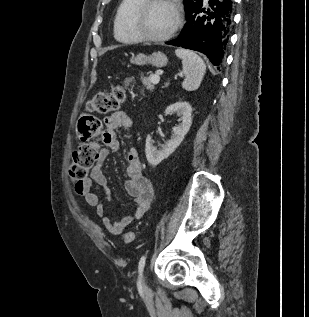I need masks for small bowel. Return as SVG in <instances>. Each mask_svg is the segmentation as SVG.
I'll return each instance as SVG.
<instances>
[{
    "label": "small bowel",
    "mask_w": 309,
    "mask_h": 317,
    "mask_svg": "<svg viewBox=\"0 0 309 317\" xmlns=\"http://www.w3.org/2000/svg\"><path fill=\"white\" fill-rule=\"evenodd\" d=\"M104 123L105 130L101 136L104 147L99 151L96 165L91 169L89 175L75 185V191L85 199L89 206L95 208V213L102 219L106 230L111 234L117 235L145 215L152 202L154 192L150 180L142 172L137 150L130 148L126 157L124 188L133 199L134 210L117 221H113L105 215V205L110 199V193L107 189V180L102 171V165L110 150H119L120 144L116 134L117 129L128 130L131 127V120L125 112L118 111L107 116L104 119ZM100 190L104 192L103 199L97 192Z\"/></svg>",
    "instance_id": "c3829d8e"
}]
</instances>
